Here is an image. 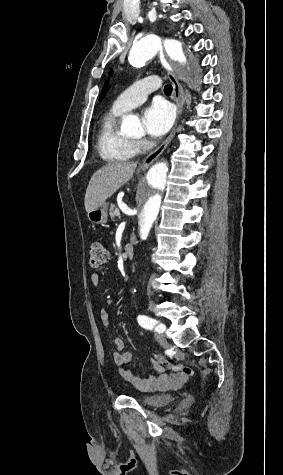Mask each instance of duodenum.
<instances>
[{
    "instance_id": "duodenum-1",
    "label": "duodenum",
    "mask_w": 283,
    "mask_h": 475,
    "mask_svg": "<svg viewBox=\"0 0 283 475\" xmlns=\"http://www.w3.org/2000/svg\"><path fill=\"white\" fill-rule=\"evenodd\" d=\"M124 254L127 259H131L134 254V244L129 242L125 245Z\"/></svg>"
}]
</instances>
